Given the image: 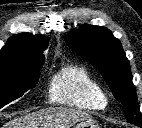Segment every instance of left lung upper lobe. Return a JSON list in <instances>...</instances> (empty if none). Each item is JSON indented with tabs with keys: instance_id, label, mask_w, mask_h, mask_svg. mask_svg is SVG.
I'll return each mask as SVG.
<instances>
[{
	"instance_id": "obj_1",
	"label": "left lung upper lobe",
	"mask_w": 142,
	"mask_h": 128,
	"mask_svg": "<svg viewBox=\"0 0 142 128\" xmlns=\"http://www.w3.org/2000/svg\"><path fill=\"white\" fill-rule=\"evenodd\" d=\"M65 41L72 51L101 73L115 98L126 107V119L142 127L129 60L111 31L100 26L83 25L66 35Z\"/></svg>"
}]
</instances>
